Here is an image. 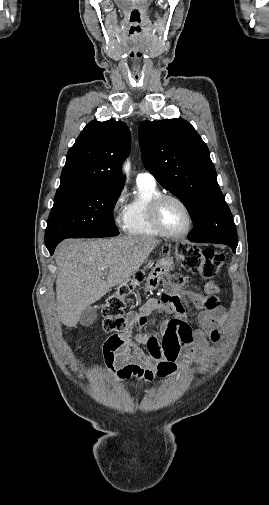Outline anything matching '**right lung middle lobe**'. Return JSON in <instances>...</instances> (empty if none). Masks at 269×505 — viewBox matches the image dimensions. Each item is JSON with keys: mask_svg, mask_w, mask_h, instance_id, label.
Wrapping results in <instances>:
<instances>
[{"mask_svg": "<svg viewBox=\"0 0 269 505\" xmlns=\"http://www.w3.org/2000/svg\"><path fill=\"white\" fill-rule=\"evenodd\" d=\"M121 191L92 186L58 188L46 228V245L66 238L118 235L113 209Z\"/></svg>", "mask_w": 269, "mask_h": 505, "instance_id": "1", "label": "right lung middle lobe"}]
</instances>
